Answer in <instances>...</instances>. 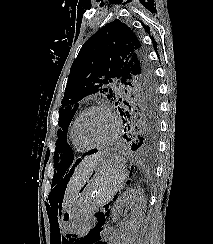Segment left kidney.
Here are the masks:
<instances>
[{
  "label": "left kidney",
  "mask_w": 213,
  "mask_h": 244,
  "mask_svg": "<svg viewBox=\"0 0 213 244\" xmlns=\"http://www.w3.org/2000/svg\"><path fill=\"white\" fill-rule=\"evenodd\" d=\"M145 201V197L137 190L127 191L120 199H118L112 209V218L115 221L120 220L124 212V217L129 220L125 222L124 232L119 237L116 244H133L134 235L137 233L140 217L141 207ZM131 209V213L127 214V210ZM121 225L123 222L121 221Z\"/></svg>",
  "instance_id": "1"
}]
</instances>
